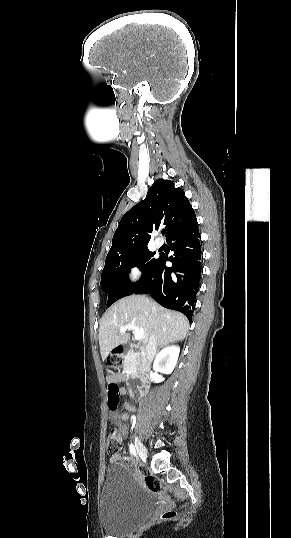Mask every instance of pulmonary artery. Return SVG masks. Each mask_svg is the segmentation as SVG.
I'll return each instance as SVG.
<instances>
[{"instance_id":"pulmonary-artery-1","label":"pulmonary artery","mask_w":291,"mask_h":538,"mask_svg":"<svg viewBox=\"0 0 291 538\" xmlns=\"http://www.w3.org/2000/svg\"><path fill=\"white\" fill-rule=\"evenodd\" d=\"M162 245H163V242H162L161 240L157 239V240L155 241V246H156L157 248H160Z\"/></svg>"}]
</instances>
